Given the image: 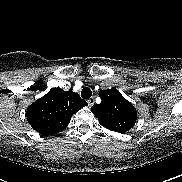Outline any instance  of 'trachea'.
Masks as SVG:
<instances>
[{
    "label": "trachea",
    "mask_w": 182,
    "mask_h": 182,
    "mask_svg": "<svg viewBox=\"0 0 182 182\" xmlns=\"http://www.w3.org/2000/svg\"><path fill=\"white\" fill-rule=\"evenodd\" d=\"M92 96V91L90 88L85 87L81 91V97L84 99H89Z\"/></svg>",
    "instance_id": "trachea-1"
}]
</instances>
